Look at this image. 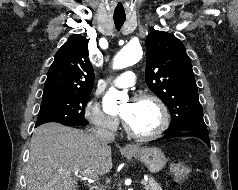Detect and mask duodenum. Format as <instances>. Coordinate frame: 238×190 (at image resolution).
<instances>
[{"label":"duodenum","mask_w":238,"mask_h":190,"mask_svg":"<svg viewBox=\"0 0 238 190\" xmlns=\"http://www.w3.org/2000/svg\"><path fill=\"white\" fill-rule=\"evenodd\" d=\"M90 190H99L97 187H92Z\"/></svg>","instance_id":"1"}]
</instances>
